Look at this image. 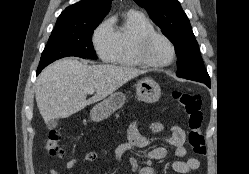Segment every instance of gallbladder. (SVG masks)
<instances>
[{"instance_id": "obj_1", "label": "gallbladder", "mask_w": 249, "mask_h": 174, "mask_svg": "<svg viewBox=\"0 0 249 174\" xmlns=\"http://www.w3.org/2000/svg\"><path fill=\"white\" fill-rule=\"evenodd\" d=\"M56 126H57V121L56 120H50L49 122H47L48 129H53Z\"/></svg>"}]
</instances>
